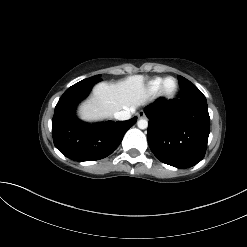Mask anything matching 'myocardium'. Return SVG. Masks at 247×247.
I'll return each instance as SVG.
<instances>
[{"label":"myocardium","instance_id":"f54148a6","mask_svg":"<svg viewBox=\"0 0 247 247\" xmlns=\"http://www.w3.org/2000/svg\"><path fill=\"white\" fill-rule=\"evenodd\" d=\"M168 80L174 81V87L170 91H168L166 89V83ZM178 88H179V83H178L177 79L174 77H167L163 80V83H162L161 88H160V94L162 97L170 99V98H173L175 96V94L178 91Z\"/></svg>","mask_w":247,"mask_h":247}]
</instances>
